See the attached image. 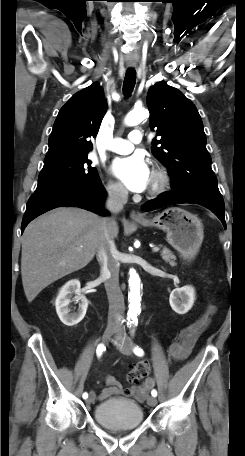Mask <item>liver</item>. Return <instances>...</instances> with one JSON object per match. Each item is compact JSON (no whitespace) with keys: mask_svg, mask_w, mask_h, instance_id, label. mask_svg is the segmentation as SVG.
Masks as SVG:
<instances>
[{"mask_svg":"<svg viewBox=\"0 0 245 456\" xmlns=\"http://www.w3.org/2000/svg\"><path fill=\"white\" fill-rule=\"evenodd\" d=\"M101 218L61 207L32 221L22 239L21 275L28 302L48 285L87 266L97 252ZM118 225H112L117 237Z\"/></svg>","mask_w":245,"mask_h":456,"instance_id":"liver-1","label":"liver"}]
</instances>
